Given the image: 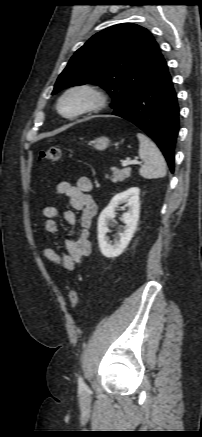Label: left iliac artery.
<instances>
[{
  "label": "left iliac artery",
  "mask_w": 202,
  "mask_h": 437,
  "mask_svg": "<svg viewBox=\"0 0 202 437\" xmlns=\"http://www.w3.org/2000/svg\"><path fill=\"white\" fill-rule=\"evenodd\" d=\"M78 386H79L80 389H85L86 388V385H85V383H84V381H83L81 376L78 377Z\"/></svg>",
  "instance_id": "44dca946"
}]
</instances>
